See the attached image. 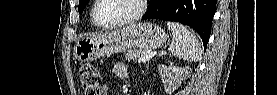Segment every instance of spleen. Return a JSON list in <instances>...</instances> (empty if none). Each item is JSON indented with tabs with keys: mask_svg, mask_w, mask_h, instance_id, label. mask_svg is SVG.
Masks as SVG:
<instances>
[{
	"mask_svg": "<svg viewBox=\"0 0 277 95\" xmlns=\"http://www.w3.org/2000/svg\"><path fill=\"white\" fill-rule=\"evenodd\" d=\"M167 26L172 31V42L169 47L171 53L187 61L201 60V47L196 36L181 24L168 22Z\"/></svg>",
	"mask_w": 277,
	"mask_h": 95,
	"instance_id": "3e777b00",
	"label": "spleen"
}]
</instances>
